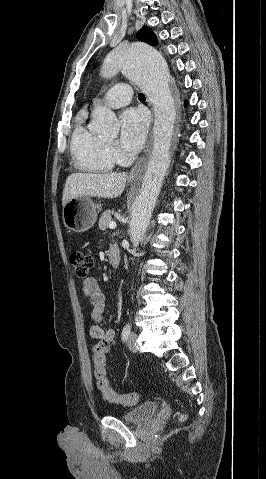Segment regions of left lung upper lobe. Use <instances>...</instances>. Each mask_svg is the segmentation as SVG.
Segmentation results:
<instances>
[{
	"instance_id": "obj_1",
	"label": "left lung upper lobe",
	"mask_w": 266,
	"mask_h": 479,
	"mask_svg": "<svg viewBox=\"0 0 266 479\" xmlns=\"http://www.w3.org/2000/svg\"><path fill=\"white\" fill-rule=\"evenodd\" d=\"M137 39L152 46L157 44V38L149 27L144 26L136 35Z\"/></svg>"
}]
</instances>
